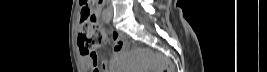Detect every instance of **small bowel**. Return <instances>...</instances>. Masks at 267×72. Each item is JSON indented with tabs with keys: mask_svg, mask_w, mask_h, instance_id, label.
<instances>
[{
	"mask_svg": "<svg viewBox=\"0 0 267 72\" xmlns=\"http://www.w3.org/2000/svg\"><path fill=\"white\" fill-rule=\"evenodd\" d=\"M97 10H99V7H97ZM112 38L114 42V56H117L119 51L122 49L123 45L122 37L119 34L113 33ZM97 59L98 56L96 52L92 54H85L84 56H82V61L84 65L90 67L92 72L109 71L105 63H103L101 65V68H99L97 66Z\"/></svg>",
	"mask_w": 267,
	"mask_h": 72,
	"instance_id": "small-bowel-1",
	"label": "small bowel"
}]
</instances>
